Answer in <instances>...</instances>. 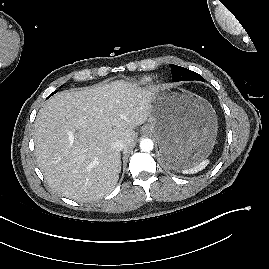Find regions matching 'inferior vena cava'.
Wrapping results in <instances>:
<instances>
[{
	"mask_svg": "<svg viewBox=\"0 0 269 269\" xmlns=\"http://www.w3.org/2000/svg\"><path fill=\"white\" fill-rule=\"evenodd\" d=\"M111 147H112L114 150L120 152V151H122V150L124 149L125 145H124V142H123V141H121V140H116V141H114V142L111 144Z\"/></svg>",
	"mask_w": 269,
	"mask_h": 269,
	"instance_id": "602c4592",
	"label": "inferior vena cava"
}]
</instances>
